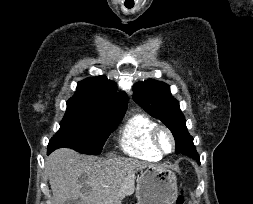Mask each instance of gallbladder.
<instances>
[{"instance_id":"gallbladder-1","label":"gallbladder","mask_w":253,"mask_h":204,"mask_svg":"<svg viewBox=\"0 0 253 204\" xmlns=\"http://www.w3.org/2000/svg\"><path fill=\"white\" fill-rule=\"evenodd\" d=\"M64 204H78V200L72 199L70 201L65 202Z\"/></svg>"}]
</instances>
